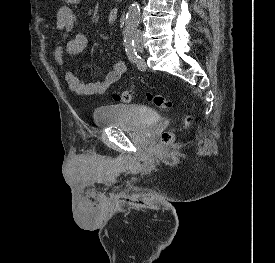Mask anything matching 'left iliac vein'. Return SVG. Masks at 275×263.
<instances>
[{
    "label": "left iliac vein",
    "mask_w": 275,
    "mask_h": 263,
    "mask_svg": "<svg viewBox=\"0 0 275 263\" xmlns=\"http://www.w3.org/2000/svg\"><path fill=\"white\" fill-rule=\"evenodd\" d=\"M135 41H136V47H137L138 51L142 52L144 47H143V43H142L140 37L136 36Z\"/></svg>",
    "instance_id": "obj_1"
}]
</instances>
